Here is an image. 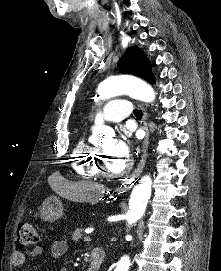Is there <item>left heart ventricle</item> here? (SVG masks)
<instances>
[{
  "mask_svg": "<svg viewBox=\"0 0 221 271\" xmlns=\"http://www.w3.org/2000/svg\"><path fill=\"white\" fill-rule=\"evenodd\" d=\"M104 165L109 168L110 175H123L124 161L119 156H112L111 160H104Z\"/></svg>",
  "mask_w": 221,
  "mask_h": 271,
  "instance_id": "b2bd125f",
  "label": "left heart ventricle"
}]
</instances>
